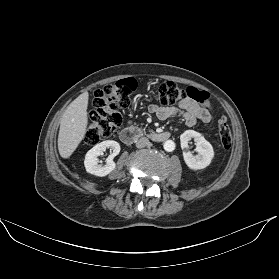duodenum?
Instances as JSON below:
<instances>
[{"label":"duodenum","instance_id":"410a0bca","mask_svg":"<svg viewBox=\"0 0 279 279\" xmlns=\"http://www.w3.org/2000/svg\"><path fill=\"white\" fill-rule=\"evenodd\" d=\"M121 141L125 144H132L141 137H148L156 142H163L170 138L169 132H146L138 128L123 129L119 135Z\"/></svg>","mask_w":279,"mask_h":279}]
</instances>
